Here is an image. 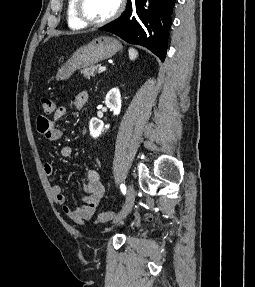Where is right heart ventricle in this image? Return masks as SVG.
I'll list each match as a JSON object with an SVG mask.
<instances>
[{
    "label": "right heart ventricle",
    "mask_w": 255,
    "mask_h": 287,
    "mask_svg": "<svg viewBox=\"0 0 255 287\" xmlns=\"http://www.w3.org/2000/svg\"><path fill=\"white\" fill-rule=\"evenodd\" d=\"M84 48H99V47H84Z\"/></svg>",
    "instance_id": "obj_1"
}]
</instances>
